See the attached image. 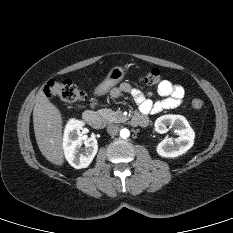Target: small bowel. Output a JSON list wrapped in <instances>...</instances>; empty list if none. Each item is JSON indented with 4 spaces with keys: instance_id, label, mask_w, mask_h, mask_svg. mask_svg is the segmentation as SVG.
<instances>
[{
    "instance_id": "1",
    "label": "small bowel",
    "mask_w": 233,
    "mask_h": 233,
    "mask_svg": "<svg viewBox=\"0 0 233 233\" xmlns=\"http://www.w3.org/2000/svg\"><path fill=\"white\" fill-rule=\"evenodd\" d=\"M121 93L130 94L137 103L139 113L134 118H145L147 122L149 115L180 106L185 96L184 88L181 85L168 80H163L157 87V94L162 98L159 101L151 100L149 94L143 93L129 83H122L119 88L112 90L111 95L118 97Z\"/></svg>"
}]
</instances>
